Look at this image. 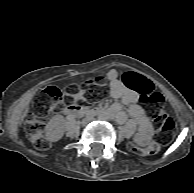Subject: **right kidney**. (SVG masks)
<instances>
[{"label": "right kidney", "instance_id": "right-kidney-1", "mask_svg": "<svg viewBox=\"0 0 194 193\" xmlns=\"http://www.w3.org/2000/svg\"><path fill=\"white\" fill-rule=\"evenodd\" d=\"M63 134L64 130L59 122V118L53 117L47 125V138L52 142H56L62 138Z\"/></svg>", "mask_w": 194, "mask_h": 193}]
</instances>
